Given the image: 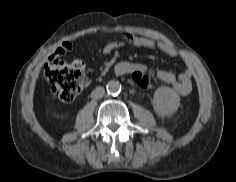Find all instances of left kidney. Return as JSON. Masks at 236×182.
Segmentation results:
<instances>
[{"mask_svg": "<svg viewBox=\"0 0 236 182\" xmlns=\"http://www.w3.org/2000/svg\"><path fill=\"white\" fill-rule=\"evenodd\" d=\"M180 105V96L170 87H159L153 98V108L161 116H170L177 112Z\"/></svg>", "mask_w": 236, "mask_h": 182, "instance_id": "1", "label": "left kidney"}]
</instances>
